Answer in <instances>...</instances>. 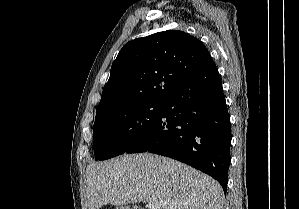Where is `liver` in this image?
Segmentation results:
<instances>
[{
  "label": "liver",
  "mask_w": 299,
  "mask_h": 209,
  "mask_svg": "<svg viewBox=\"0 0 299 209\" xmlns=\"http://www.w3.org/2000/svg\"><path fill=\"white\" fill-rule=\"evenodd\" d=\"M88 209L156 202L159 209H223V191L210 176L176 160L150 153L89 164Z\"/></svg>",
  "instance_id": "liver-1"
}]
</instances>
